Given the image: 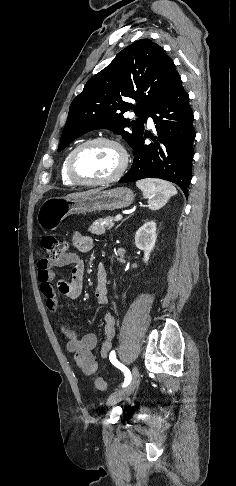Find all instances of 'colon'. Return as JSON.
Segmentation results:
<instances>
[{"label": "colon", "mask_w": 236, "mask_h": 486, "mask_svg": "<svg viewBox=\"0 0 236 486\" xmlns=\"http://www.w3.org/2000/svg\"><path fill=\"white\" fill-rule=\"evenodd\" d=\"M42 245L46 253V259L51 262L58 261L65 254L67 247L65 241L54 235H48L44 237ZM94 384L95 387L100 391L107 390L106 382L100 377H97L95 379Z\"/></svg>", "instance_id": "colon-1"}]
</instances>
